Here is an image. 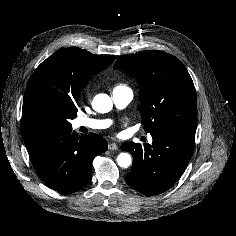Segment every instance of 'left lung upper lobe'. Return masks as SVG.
I'll return each instance as SVG.
<instances>
[{
    "label": "left lung upper lobe",
    "instance_id": "obj_1",
    "mask_svg": "<svg viewBox=\"0 0 236 236\" xmlns=\"http://www.w3.org/2000/svg\"><path fill=\"white\" fill-rule=\"evenodd\" d=\"M114 69L134 77L141 86L139 112L145 131L195 133V87L187 69L175 56L160 50L140 52L119 58Z\"/></svg>",
    "mask_w": 236,
    "mask_h": 236
}]
</instances>
